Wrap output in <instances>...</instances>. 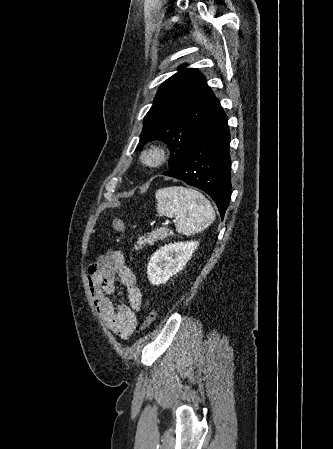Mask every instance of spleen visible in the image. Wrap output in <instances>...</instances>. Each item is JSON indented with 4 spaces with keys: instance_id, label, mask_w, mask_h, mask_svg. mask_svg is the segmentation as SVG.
<instances>
[{
    "instance_id": "3e777b00",
    "label": "spleen",
    "mask_w": 333,
    "mask_h": 449,
    "mask_svg": "<svg viewBox=\"0 0 333 449\" xmlns=\"http://www.w3.org/2000/svg\"><path fill=\"white\" fill-rule=\"evenodd\" d=\"M155 199L159 216L175 217L180 234L201 232L215 219L210 201L198 190L183 186L161 188L156 191Z\"/></svg>"
}]
</instances>
